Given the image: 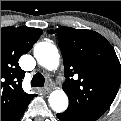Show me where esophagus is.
<instances>
[{"mask_svg":"<svg viewBox=\"0 0 121 121\" xmlns=\"http://www.w3.org/2000/svg\"><path fill=\"white\" fill-rule=\"evenodd\" d=\"M50 90H51V88H50L49 86H46V87L44 88L45 93L50 92Z\"/></svg>","mask_w":121,"mask_h":121,"instance_id":"obj_1","label":"esophagus"}]
</instances>
